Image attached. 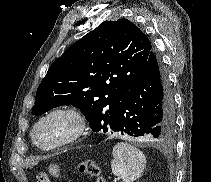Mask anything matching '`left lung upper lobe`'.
<instances>
[{
	"mask_svg": "<svg viewBox=\"0 0 211 182\" xmlns=\"http://www.w3.org/2000/svg\"><path fill=\"white\" fill-rule=\"evenodd\" d=\"M151 51L147 36L129 20L102 22L52 63L38 86L33 114L73 105L93 131H112Z\"/></svg>",
	"mask_w": 211,
	"mask_h": 182,
	"instance_id": "left-lung-upper-lobe-1",
	"label": "left lung upper lobe"
}]
</instances>
